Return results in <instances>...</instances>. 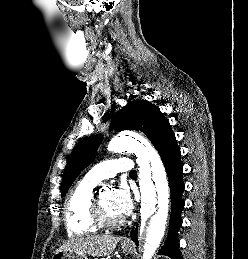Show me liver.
<instances>
[{"mask_svg":"<svg viewBox=\"0 0 248 259\" xmlns=\"http://www.w3.org/2000/svg\"><path fill=\"white\" fill-rule=\"evenodd\" d=\"M119 240L120 237L112 235L79 237L67 241L57 251L72 250L92 257L109 256Z\"/></svg>","mask_w":248,"mask_h":259,"instance_id":"obj_1","label":"liver"}]
</instances>
